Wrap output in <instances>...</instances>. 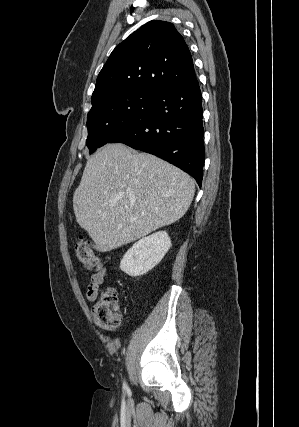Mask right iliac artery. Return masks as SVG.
<instances>
[{
  "instance_id": "1",
  "label": "right iliac artery",
  "mask_w": 299,
  "mask_h": 427,
  "mask_svg": "<svg viewBox=\"0 0 299 427\" xmlns=\"http://www.w3.org/2000/svg\"><path fill=\"white\" fill-rule=\"evenodd\" d=\"M123 389H127V385H126V383L124 382V384H123Z\"/></svg>"
}]
</instances>
